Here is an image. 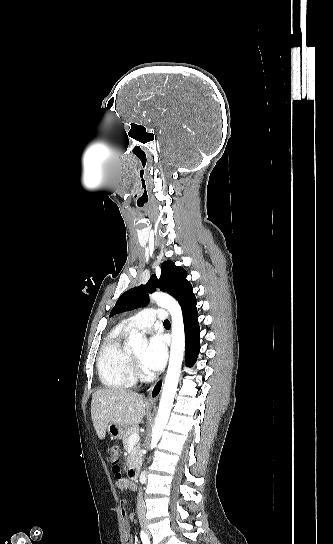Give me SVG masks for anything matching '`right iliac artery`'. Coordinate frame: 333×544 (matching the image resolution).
<instances>
[{
	"instance_id": "82829eb1",
	"label": "right iliac artery",
	"mask_w": 333,
	"mask_h": 544,
	"mask_svg": "<svg viewBox=\"0 0 333 544\" xmlns=\"http://www.w3.org/2000/svg\"><path fill=\"white\" fill-rule=\"evenodd\" d=\"M140 536L143 544H150V540L143 530H141Z\"/></svg>"
}]
</instances>
